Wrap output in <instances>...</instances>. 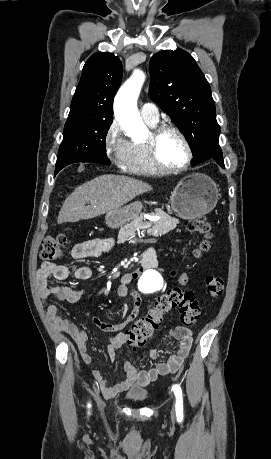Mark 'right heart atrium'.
I'll return each instance as SVG.
<instances>
[{"label": "right heart atrium", "mask_w": 271, "mask_h": 459, "mask_svg": "<svg viewBox=\"0 0 271 459\" xmlns=\"http://www.w3.org/2000/svg\"><path fill=\"white\" fill-rule=\"evenodd\" d=\"M102 144L107 158L116 167H123L129 141L123 136L116 120H113L106 128L102 137Z\"/></svg>", "instance_id": "obj_1"}]
</instances>
